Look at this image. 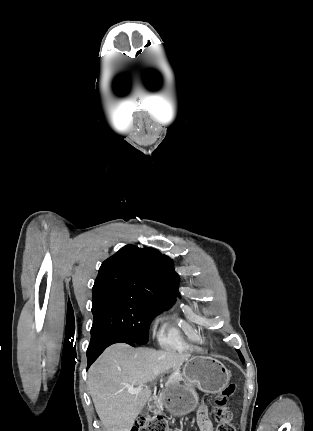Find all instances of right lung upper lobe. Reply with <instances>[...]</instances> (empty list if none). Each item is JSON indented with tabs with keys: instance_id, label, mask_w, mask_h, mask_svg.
I'll return each instance as SVG.
<instances>
[{
	"instance_id": "1",
	"label": "right lung upper lobe",
	"mask_w": 313,
	"mask_h": 431,
	"mask_svg": "<svg viewBox=\"0 0 313 431\" xmlns=\"http://www.w3.org/2000/svg\"><path fill=\"white\" fill-rule=\"evenodd\" d=\"M169 272V263L160 252L127 245L102 263L92 289L93 297L120 292L170 306L176 294Z\"/></svg>"
}]
</instances>
